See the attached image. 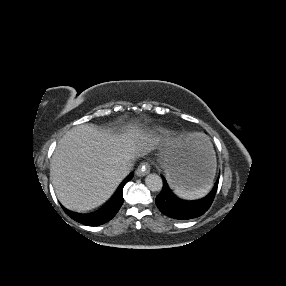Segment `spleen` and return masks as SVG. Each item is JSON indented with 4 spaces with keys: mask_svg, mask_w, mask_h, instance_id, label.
<instances>
[{
    "mask_svg": "<svg viewBox=\"0 0 286 286\" xmlns=\"http://www.w3.org/2000/svg\"><path fill=\"white\" fill-rule=\"evenodd\" d=\"M174 187V193L183 199H198L203 196H205L212 187V182L204 187L195 188V189H187L183 186H173Z\"/></svg>",
    "mask_w": 286,
    "mask_h": 286,
    "instance_id": "obj_1",
    "label": "spleen"
}]
</instances>
